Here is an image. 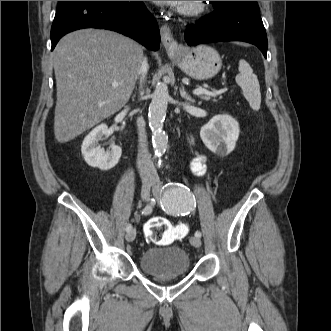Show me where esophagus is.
<instances>
[{"label": "esophagus", "instance_id": "1", "mask_svg": "<svg viewBox=\"0 0 331 331\" xmlns=\"http://www.w3.org/2000/svg\"><path fill=\"white\" fill-rule=\"evenodd\" d=\"M160 33H161L162 45L164 46L168 54H173L180 49V46L173 38L172 32L167 25L161 26Z\"/></svg>", "mask_w": 331, "mask_h": 331}]
</instances>
